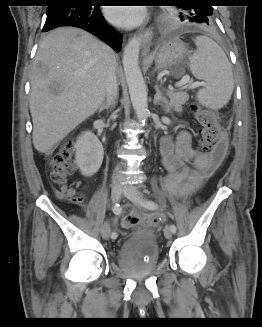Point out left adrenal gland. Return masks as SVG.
Returning a JSON list of instances; mask_svg holds the SVG:
<instances>
[{
    "instance_id": "1",
    "label": "left adrenal gland",
    "mask_w": 262,
    "mask_h": 327,
    "mask_svg": "<svg viewBox=\"0 0 262 327\" xmlns=\"http://www.w3.org/2000/svg\"><path fill=\"white\" fill-rule=\"evenodd\" d=\"M155 91L156 94L153 100L154 105H161L162 107H164L165 112L168 113L170 111V106L167 98L162 95L158 85L155 86Z\"/></svg>"
}]
</instances>
